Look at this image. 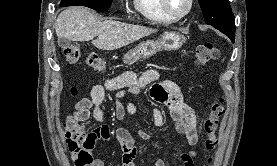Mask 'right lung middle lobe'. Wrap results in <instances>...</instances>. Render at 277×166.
Masks as SVG:
<instances>
[{
  "label": "right lung middle lobe",
  "instance_id": "dd1d6c3e",
  "mask_svg": "<svg viewBox=\"0 0 277 166\" xmlns=\"http://www.w3.org/2000/svg\"><path fill=\"white\" fill-rule=\"evenodd\" d=\"M112 0H62L60 7L80 5L99 11H107L111 6Z\"/></svg>",
  "mask_w": 277,
  "mask_h": 166
}]
</instances>
